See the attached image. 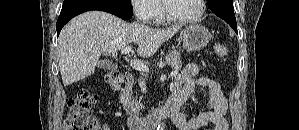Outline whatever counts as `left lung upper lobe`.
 Masks as SVG:
<instances>
[{
	"label": "left lung upper lobe",
	"mask_w": 299,
	"mask_h": 130,
	"mask_svg": "<svg viewBox=\"0 0 299 130\" xmlns=\"http://www.w3.org/2000/svg\"><path fill=\"white\" fill-rule=\"evenodd\" d=\"M211 2V0H207V3Z\"/></svg>",
	"instance_id": "obj_1"
}]
</instances>
